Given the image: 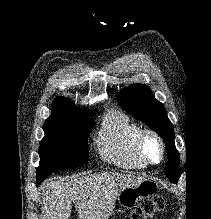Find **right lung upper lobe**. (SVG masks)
Listing matches in <instances>:
<instances>
[{"label": "right lung upper lobe", "instance_id": "1", "mask_svg": "<svg viewBox=\"0 0 211 219\" xmlns=\"http://www.w3.org/2000/svg\"><path fill=\"white\" fill-rule=\"evenodd\" d=\"M52 115L49 118H63V117H76V116H89L93 111H85L76 107L69 99L65 97H57L52 104Z\"/></svg>", "mask_w": 211, "mask_h": 219}]
</instances>
